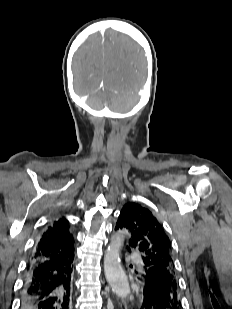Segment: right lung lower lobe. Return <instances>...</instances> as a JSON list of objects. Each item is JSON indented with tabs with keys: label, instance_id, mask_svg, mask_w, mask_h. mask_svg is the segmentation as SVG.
I'll return each instance as SVG.
<instances>
[{
	"label": "right lung lower lobe",
	"instance_id": "obj_1",
	"mask_svg": "<svg viewBox=\"0 0 232 309\" xmlns=\"http://www.w3.org/2000/svg\"><path fill=\"white\" fill-rule=\"evenodd\" d=\"M72 256L30 260L22 288L23 309H72Z\"/></svg>",
	"mask_w": 232,
	"mask_h": 309
}]
</instances>
